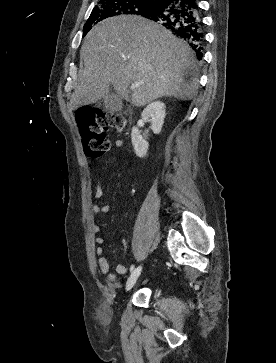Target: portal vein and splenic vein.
Instances as JSON below:
<instances>
[{
    "label": "portal vein and splenic vein",
    "instance_id": "obj_1",
    "mask_svg": "<svg viewBox=\"0 0 276 363\" xmlns=\"http://www.w3.org/2000/svg\"><path fill=\"white\" fill-rule=\"evenodd\" d=\"M139 86V84H132L131 86H130V89L131 90H133V89H135L136 87H138Z\"/></svg>",
    "mask_w": 276,
    "mask_h": 363
}]
</instances>
